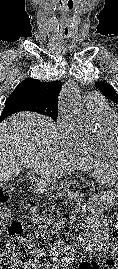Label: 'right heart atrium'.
<instances>
[{
  "label": "right heart atrium",
  "instance_id": "right-heart-atrium-1",
  "mask_svg": "<svg viewBox=\"0 0 118 269\" xmlns=\"http://www.w3.org/2000/svg\"><path fill=\"white\" fill-rule=\"evenodd\" d=\"M61 126L71 144L79 146L86 138L87 133L82 130L70 117L62 115Z\"/></svg>",
  "mask_w": 118,
  "mask_h": 269
}]
</instances>
